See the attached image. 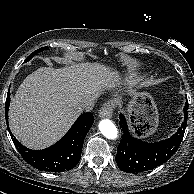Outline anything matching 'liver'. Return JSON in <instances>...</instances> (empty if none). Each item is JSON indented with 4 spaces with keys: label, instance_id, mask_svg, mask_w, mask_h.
I'll return each mask as SVG.
<instances>
[{
    "label": "liver",
    "instance_id": "1",
    "mask_svg": "<svg viewBox=\"0 0 194 194\" xmlns=\"http://www.w3.org/2000/svg\"><path fill=\"white\" fill-rule=\"evenodd\" d=\"M118 71L98 63L41 67L19 86L9 109V126L26 147L43 149L61 138L81 111L79 104L120 83Z\"/></svg>",
    "mask_w": 194,
    "mask_h": 194
}]
</instances>
